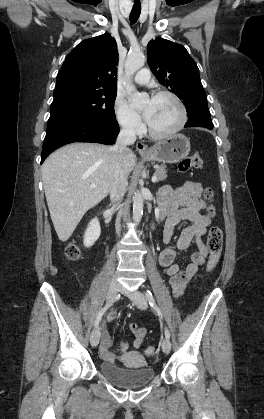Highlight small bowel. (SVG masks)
Segmentation results:
<instances>
[{"label":"small bowel","mask_w":264,"mask_h":419,"mask_svg":"<svg viewBox=\"0 0 264 419\" xmlns=\"http://www.w3.org/2000/svg\"><path fill=\"white\" fill-rule=\"evenodd\" d=\"M161 217L165 218L163 233L164 248L159 255V263L163 267L166 275L169 276L173 295L180 296L187 284L198 272L208 257V250L203 243V236L207 227L210 225V218L204 213L206 202L203 198V187L200 183L186 181L172 187L164 185L159 191ZM181 221H189L191 224L185 228L177 240L176 247L186 251L191 246H196L197 250L190 254V263L181 268L180 260L177 258L175 249L170 245L174 228ZM116 318L114 313H110L108 321L112 322ZM130 329L135 337L133 346L140 349L147 334V329L131 323ZM112 340L108 330H104L100 343L101 357L110 363L116 362L120 357L126 359L131 352H126L128 345L120 343L115 350L111 349ZM118 353H121L120 356Z\"/></svg>","instance_id":"obj_1"}]
</instances>
